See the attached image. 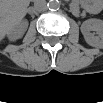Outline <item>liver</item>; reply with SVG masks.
<instances>
[{
	"label": "liver",
	"mask_w": 103,
	"mask_h": 103,
	"mask_svg": "<svg viewBox=\"0 0 103 103\" xmlns=\"http://www.w3.org/2000/svg\"><path fill=\"white\" fill-rule=\"evenodd\" d=\"M29 1L6 0L1 2L0 37L3 39L20 23L27 13Z\"/></svg>",
	"instance_id": "1"
}]
</instances>
